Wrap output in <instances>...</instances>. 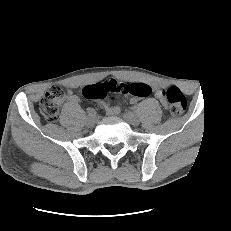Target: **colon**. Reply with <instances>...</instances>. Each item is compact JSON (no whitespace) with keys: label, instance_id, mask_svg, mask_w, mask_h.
<instances>
[{"label":"colon","instance_id":"1","mask_svg":"<svg viewBox=\"0 0 231 231\" xmlns=\"http://www.w3.org/2000/svg\"><path fill=\"white\" fill-rule=\"evenodd\" d=\"M151 93V88L145 83H123L108 80L87 85L83 88V95L88 99H102L109 94H130L140 98ZM66 96V91L59 85L51 86L40 100L39 109L46 120L53 122L57 119L60 105ZM163 99L170 113L178 116L187 107L186 97L176 86H169L163 91Z\"/></svg>","mask_w":231,"mask_h":231}]
</instances>
